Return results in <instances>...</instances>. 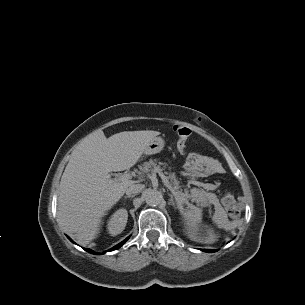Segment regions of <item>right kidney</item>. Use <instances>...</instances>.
I'll return each mask as SVG.
<instances>
[{"mask_svg": "<svg viewBox=\"0 0 305 305\" xmlns=\"http://www.w3.org/2000/svg\"><path fill=\"white\" fill-rule=\"evenodd\" d=\"M128 220V213L126 209L117 210L109 219L107 223V230L111 236L120 234L126 226Z\"/></svg>", "mask_w": 305, "mask_h": 305, "instance_id": "right-kidney-1", "label": "right kidney"}]
</instances>
